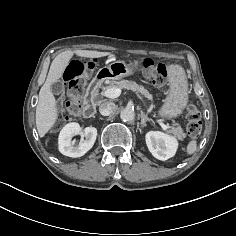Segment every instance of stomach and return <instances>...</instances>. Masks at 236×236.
Segmentation results:
<instances>
[{
	"mask_svg": "<svg viewBox=\"0 0 236 236\" xmlns=\"http://www.w3.org/2000/svg\"><path fill=\"white\" fill-rule=\"evenodd\" d=\"M139 65L140 61L138 60L131 64H126L124 61H115L108 66L100 68L96 74V78L99 81L116 82L133 75ZM169 83L170 89L168 95L158 111L159 116L163 119L178 117L188 102L185 74L179 65L170 66Z\"/></svg>",
	"mask_w": 236,
	"mask_h": 236,
	"instance_id": "0dacf381",
	"label": "stomach"
}]
</instances>
